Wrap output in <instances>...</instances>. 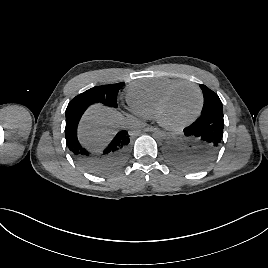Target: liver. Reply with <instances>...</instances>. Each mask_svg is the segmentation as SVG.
I'll return each mask as SVG.
<instances>
[{
	"label": "liver",
	"instance_id": "liver-1",
	"mask_svg": "<svg viewBox=\"0 0 268 268\" xmlns=\"http://www.w3.org/2000/svg\"><path fill=\"white\" fill-rule=\"evenodd\" d=\"M122 115L102 105H93L85 113L79 128L80 137L87 143L105 141L122 124Z\"/></svg>",
	"mask_w": 268,
	"mask_h": 268
}]
</instances>
